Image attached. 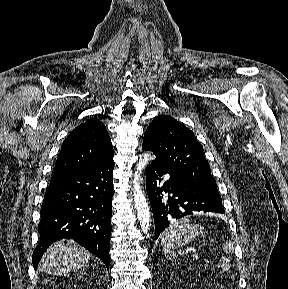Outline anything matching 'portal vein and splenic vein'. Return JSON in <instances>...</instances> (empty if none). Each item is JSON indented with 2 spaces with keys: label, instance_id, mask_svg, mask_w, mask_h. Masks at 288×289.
I'll list each match as a JSON object with an SVG mask.
<instances>
[{
  "label": "portal vein and splenic vein",
  "instance_id": "1",
  "mask_svg": "<svg viewBox=\"0 0 288 289\" xmlns=\"http://www.w3.org/2000/svg\"><path fill=\"white\" fill-rule=\"evenodd\" d=\"M205 267H208V265H207V264H205Z\"/></svg>",
  "mask_w": 288,
  "mask_h": 289
}]
</instances>
